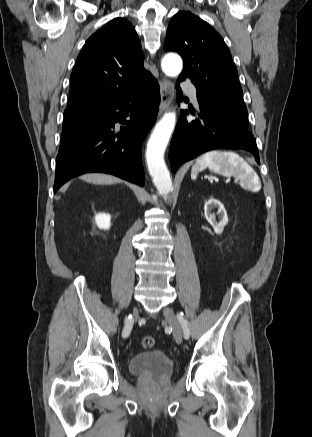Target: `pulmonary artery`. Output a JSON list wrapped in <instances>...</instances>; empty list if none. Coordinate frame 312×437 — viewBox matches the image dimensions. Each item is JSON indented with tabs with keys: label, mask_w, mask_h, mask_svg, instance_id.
Returning a JSON list of instances; mask_svg holds the SVG:
<instances>
[{
	"label": "pulmonary artery",
	"mask_w": 312,
	"mask_h": 437,
	"mask_svg": "<svg viewBox=\"0 0 312 437\" xmlns=\"http://www.w3.org/2000/svg\"><path fill=\"white\" fill-rule=\"evenodd\" d=\"M182 86L188 91L192 101L197 104V91L196 88L190 85L188 82L183 81Z\"/></svg>",
	"instance_id": "obj_1"
}]
</instances>
